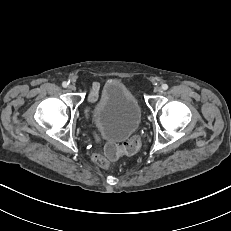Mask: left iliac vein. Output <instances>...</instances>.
Listing matches in <instances>:
<instances>
[{
  "mask_svg": "<svg viewBox=\"0 0 231 231\" xmlns=\"http://www.w3.org/2000/svg\"><path fill=\"white\" fill-rule=\"evenodd\" d=\"M154 92H155L156 94H160V93L162 92V88H161L160 86H156V87L154 88Z\"/></svg>",
  "mask_w": 231,
  "mask_h": 231,
  "instance_id": "obj_1",
  "label": "left iliac vein"
}]
</instances>
